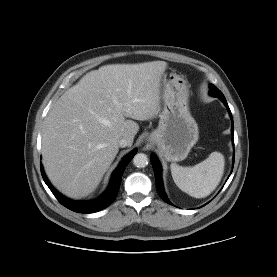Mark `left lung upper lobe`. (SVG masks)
Segmentation results:
<instances>
[{
    "label": "left lung upper lobe",
    "mask_w": 277,
    "mask_h": 277,
    "mask_svg": "<svg viewBox=\"0 0 277 277\" xmlns=\"http://www.w3.org/2000/svg\"><path fill=\"white\" fill-rule=\"evenodd\" d=\"M210 91L209 94L213 97H218L221 101L226 100L223 93L213 84H210Z\"/></svg>",
    "instance_id": "1"
}]
</instances>
